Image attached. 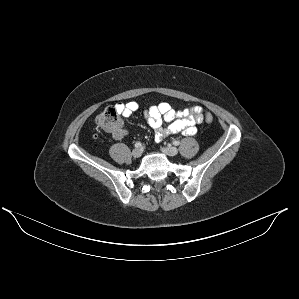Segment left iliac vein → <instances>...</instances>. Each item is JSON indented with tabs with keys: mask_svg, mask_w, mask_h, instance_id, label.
Listing matches in <instances>:
<instances>
[{
	"mask_svg": "<svg viewBox=\"0 0 299 299\" xmlns=\"http://www.w3.org/2000/svg\"><path fill=\"white\" fill-rule=\"evenodd\" d=\"M161 150L163 153H165L166 155H169V156H175L178 154V149L173 146L163 147Z\"/></svg>",
	"mask_w": 299,
	"mask_h": 299,
	"instance_id": "left-iliac-vein-1",
	"label": "left iliac vein"
}]
</instances>
